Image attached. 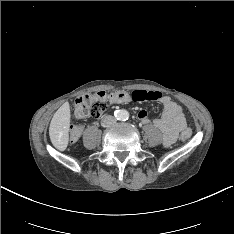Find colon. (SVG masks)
<instances>
[{"mask_svg": "<svg viewBox=\"0 0 234 234\" xmlns=\"http://www.w3.org/2000/svg\"><path fill=\"white\" fill-rule=\"evenodd\" d=\"M130 97L133 101H155L160 97L159 92H146V91H133L131 93L126 91L115 92H97L91 95H83L75 100V115L78 118H99L101 117L110 103H119ZM83 131L81 125H75L71 127L70 141L76 142ZM192 132L190 129H185L181 135L183 140H187L191 137Z\"/></svg>", "mask_w": 234, "mask_h": 234, "instance_id": "colon-1", "label": "colon"}]
</instances>
